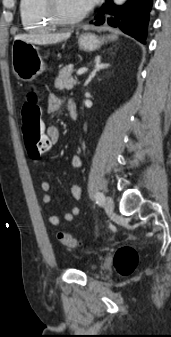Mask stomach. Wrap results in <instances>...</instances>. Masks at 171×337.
<instances>
[{
    "label": "stomach",
    "mask_w": 171,
    "mask_h": 337,
    "mask_svg": "<svg viewBox=\"0 0 171 337\" xmlns=\"http://www.w3.org/2000/svg\"><path fill=\"white\" fill-rule=\"evenodd\" d=\"M115 35L97 37L90 33H84L79 37V46L85 51H94L104 42L115 40ZM12 69L15 76L25 82L34 80L44 69V61L38 48L33 43L15 40L12 45Z\"/></svg>",
    "instance_id": "stomach-1"
}]
</instances>
